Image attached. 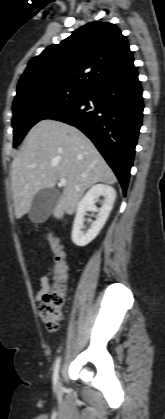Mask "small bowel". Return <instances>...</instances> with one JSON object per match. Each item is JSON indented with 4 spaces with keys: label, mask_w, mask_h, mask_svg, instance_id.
<instances>
[{
    "label": "small bowel",
    "mask_w": 165,
    "mask_h": 419,
    "mask_svg": "<svg viewBox=\"0 0 165 419\" xmlns=\"http://www.w3.org/2000/svg\"><path fill=\"white\" fill-rule=\"evenodd\" d=\"M50 273H45L40 277V288L36 293V300L39 301L41 298L50 290Z\"/></svg>",
    "instance_id": "small-bowel-1"
}]
</instances>
